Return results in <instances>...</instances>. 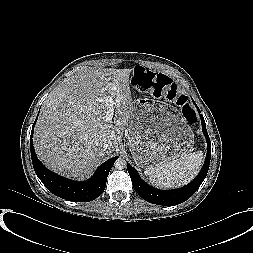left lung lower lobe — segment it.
<instances>
[{
  "label": "left lung lower lobe",
  "mask_w": 253,
  "mask_h": 253,
  "mask_svg": "<svg viewBox=\"0 0 253 253\" xmlns=\"http://www.w3.org/2000/svg\"><path fill=\"white\" fill-rule=\"evenodd\" d=\"M196 105V104H195ZM200 112L199 108L197 107ZM202 122V130L207 140V155L201 172L188 185L175 190H159L145 183L138 172L127 163V169L132 180L135 191L146 201L158 205H176L189 199L200 187L205 179L211 158V142L206 130L203 115L200 116Z\"/></svg>",
  "instance_id": "0a47b994"
}]
</instances>
